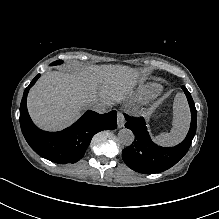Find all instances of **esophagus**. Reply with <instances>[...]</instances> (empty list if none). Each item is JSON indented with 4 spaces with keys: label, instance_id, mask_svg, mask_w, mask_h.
<instances>
[{
    "label": "esophagus",
    "instance_id": "esophagus-1",
    "mask_svg": "<svg viewBox=\"0 0 219 219\" xmlns=\"http://www.w3.org/2000/svg\"><path fill=\"white\" fill-rule=\"evenodd\" d=\"M125 124V118L121 112H118L117 114V127L122 128Z\"/></svg>",
    "mask_w": 219,
    "mask_h": 219
}]
</instances>
